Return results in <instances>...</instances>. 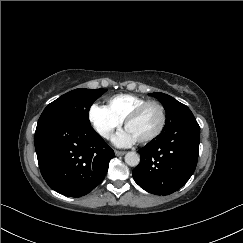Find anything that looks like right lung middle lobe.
Here are the masks:
<instances>
[{
  "label": "right lung middle lobe",
  "mask_w": 243,
  "mask_h": 243,
  "mask_svg": "<svg viewBox=\"0 0 243 243\" xmlns=\"http://www.w3.org/2000/svg\"><path fill=\"white\" fill-rule=\"evenodd\" d=\"M106 91L107 89L84 88L72 90L50 103L41 114L37 125L52 120H64L90 126L88 111Z\"/></svg>",
  "instance_id": "right-lung-middle-lobe-1"
}]
</instances>
